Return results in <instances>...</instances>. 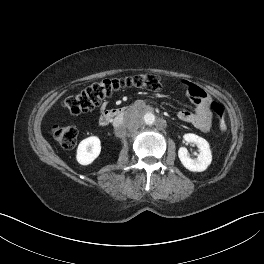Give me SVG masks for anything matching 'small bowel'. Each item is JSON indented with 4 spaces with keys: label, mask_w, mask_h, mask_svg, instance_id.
<instances>
[{
    "label": "small bowel",
    "mask_w": 264,
    "mask_h": 264,
    "mask_svg": "<svg viewBox=\"0 0 264 264\" xmlns=\"http://www.w3.org/2000/svg\"><path fill=\"white\" fill-rule=\"evenodd\" d=\"M184 84L187 86L189 99L194 105V112L182 110L178 113V119L191 124L200 131H209L212 126L211 98L201 87L188 81ZM105 106L106 103H103L101 110Z\"/></svg>",
    "instance_id": "1"
}]
</instances>
